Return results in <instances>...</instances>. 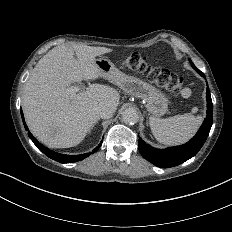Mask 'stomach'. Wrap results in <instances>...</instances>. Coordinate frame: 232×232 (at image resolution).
<instances>
[{
  "mask_svg": "<svg viewBox=\"0 0 232 232\" xmlns=\"http://www.w3.org/2000/svg\"><path fill=\"white\" fill-rule=\"evenodd\" d=\"M101 76L134 98H140L152 116H162L168 111V99L163 93L141 79L120 71L108 58L96 59Z\"/></svg>",
  "mask_w": 232,
  "mask_h": 232,
  "instance_id": "obj_1",
  "label": "stomach"
}]
</instances>
